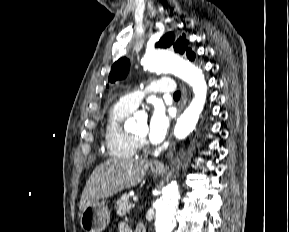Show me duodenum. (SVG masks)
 <instances>
[{
  "instance_id": "1",
  "label": "duodenum",
  "mask_w": 289,
  "mask_h": 232,
  "mask_svg": "<svg viewBox=\"0 0 289 232\" xmlns=\"http://www.w3.org/2000/svg\"><path fill=\"white\" fill-rule=\"evenodd\" d=\"M135 232H147L144 226H138Z\"/></svg>"
}]
</instances>
